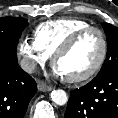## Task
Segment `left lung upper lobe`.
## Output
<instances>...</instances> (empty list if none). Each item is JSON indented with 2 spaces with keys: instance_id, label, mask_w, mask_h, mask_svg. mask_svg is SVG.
Here are the masks:
<instances>
[{
  "instance_id": "obj_1",
  "label": "left lung upper lobe",
  "mask_w": 118,
  "mask_h": 118,
  "mask_svg": "<svg viewBox=\"0 0 118 118\" xmlns=\"http://www.w3.org/2000/svg\"><path fill=\"white\" fill-rule=\"evenodd\" d=\"M103 28L107 37V56L96 77L118 70V28L108 23H103Z\"/></svg>"
}]
</instances>
